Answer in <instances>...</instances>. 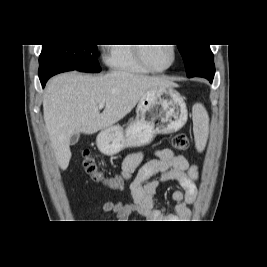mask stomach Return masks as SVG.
<instances>
[{"label":"stomach","instance_id":"0dacf381","mask_svg":"<svg viewBox=\"0 0 267 267\" xmlns=\"http://www.w3.org/2000/svg\"><path fill=\"white\" fill-rule=\"evenodd\" d=\"M187 117L184 98L173 87L150 90L139 100L135 120L126 129L120 125L103 129L96 144L102 154L113 156L125 148L147 145L158 134L178 131Z\"/></svg>","mask_w":267,"mask_h":267}]
</instances>
